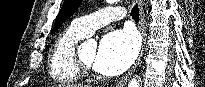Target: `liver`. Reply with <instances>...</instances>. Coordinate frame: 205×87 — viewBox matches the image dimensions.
I'll return each instance as SVG.
<instances>
[{
  "instance_id": "6515ba94",
  "label": "liver",
  "mask_w": 205,
  "mask_h": 87,
  "mask_svg": "<svg viewBox=\"0 0 205 87\" xmlns=\"http://www.w3.org/2000/svg\"><path fill=\"white\" fill-rule=\"evenodd\" d=\"M58 87H87V86H83L81 84H63V85H59Z\"/></svg>"
}]
</instances>
